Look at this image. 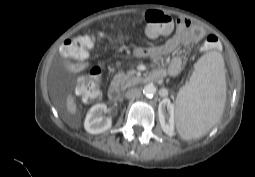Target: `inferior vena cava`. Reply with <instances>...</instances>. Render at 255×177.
I'll use <instances>...</instances> for the list:
<instances>
[{
    "instance_id": "1",
    "label": "inferior vena cava",
    "mask_w": 255,
    "mask_h": 177,
    "mask_svg": "<svg viewBox=\"0 0 255 177\" xmlns=\"http://www.w3.org/2000/svg\"><path fill=\"white\" fill-rule=\"evenodd\" d=\"M141 96V91L138 88H131L126 91L125 97L127 99H135Z\"/></svg>"
}]
</instances>
